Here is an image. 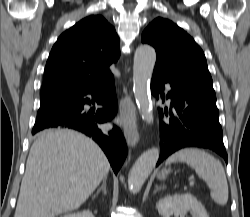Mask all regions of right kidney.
I'll return each instance as SVG.
<instances>
[{
	"instance_id": "1",
	"label": "right kidney",
	"mask_w": 250,
	"mask_h": 217,
	"mask_svg": "<svg viewBox=\"0 0 250 217\" xmlns=\"http://www.w3.org/2000/svg\"><path fill=\"white\" fill-rule=\"evenodd\" d=\"M63 217H94V215L89 210H85L74 214H67Z\"/></svg>"
}]
</instances>
